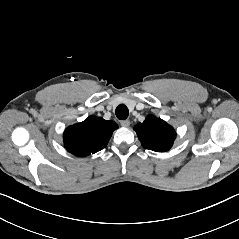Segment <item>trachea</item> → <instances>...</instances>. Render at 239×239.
Instances as JSON below:
<instances>
[{
	"label": "trachea",
	"instance_id": "trachea-1",
	"mask_svg": "<svg viewBox=\"0 0 239 239\" xmlns=\"http://www.w3.org/2000/svg\"><path fill=\"white\" fill-rule=\"evenodd\" d=\"M116 116L118 119L120 120H125L128 115H129V110L126 107V105L120 104L117 108H116Z\"/></svg>",
	"mask_w": 239,
	"mask_h": 239
}]
</instances>
